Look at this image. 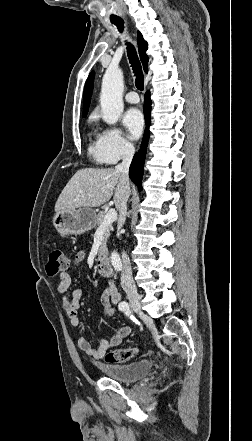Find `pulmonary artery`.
Listing matches in <instances>:
<instances>
[{
    "label": "pulmonary artery",
    "mask_w": 252,
    "mask_h": 441,
    "mask_svg": "<svg viewBox=\"0 0 252 441\" xmlns=\"http://www.w3.org/2000/svg\"><path fill=\"white\" fill-rule=\"evenodd\" d=\"M125 100H126L128 103L136 104V103L139 102V97H138V95H137L136 92L131 91V92H129V93L126 94V96H125Z\"/></svg>",
    "instance_id": "obj_1"
}]
</instances>
